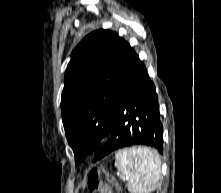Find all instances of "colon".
Returning <instances> with one entry per match:
<instances>
[{"instance_id": "colon-1", "label": "colon", "mask_w": 221, "mask_h": 193, "mask_svg": "<svg viewBox=\"0 0 221 193\" xmlns=\"http://www.w3.org/2000/svg\"><path fill=\"white\" fill-rule=\"evenodd\" d=\"M101 173H103L109 181L113 180V177L110 173L104 169L95 168L93 169L87 179V188L91 193L101 191L102 182L100 179Z\"/></svg>"}]
</instances>
